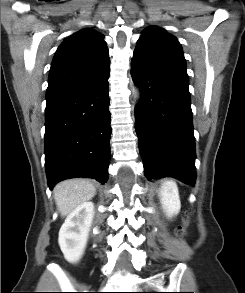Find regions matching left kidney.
Instances as JSON below:
<instances>
[{
	"label": "left kidney",
	"mask_w": 245,
	"mask_h": 293,
	"mask_svg": "<svg viewBox=\"0 0 245 293\" xmlns=\"http://www.w3.org/2000/svg\"><path fill=\"white\" fill-rule=\"evenodd\" d=\"M162 208L168 217L177 215L181 208L177 184L174 181H165L159 189Z\"/></svg>",
	"instance_id": "5707ae66"
}]
</instances>
